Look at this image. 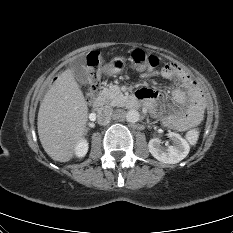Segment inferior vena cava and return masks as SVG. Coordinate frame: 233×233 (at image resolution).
I'll list each match as a JSON object with an SVG mask.
<instances>
[{"instance_id":"obj_1","label":"inferior vena cava","mask_w":233,"mask_h":233,"mask_svg":"<svg viewBox=\"0 0 233 233\" xmlns=\"http://www.w3.org/2000/svg\"><path fill=\"white\" fill-rule=\"evenodd\" d=\"M116 115L113 113V109L110 106H103L97 112V122L100 125H107L112 118Z\"/></svg>"}]
</instances>
